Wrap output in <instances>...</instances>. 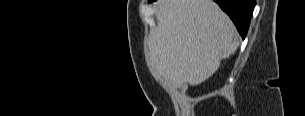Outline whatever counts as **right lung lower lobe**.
Wrapping results in <instances>:
<instances>
[{
	"label": "right lung lower lobe",
	"instance_id": "obj_1",
	"mask_svg": "<svg viewBox=\"0 0 305 116\" xmlns=\"http://www.w3.org/2000/svg\"><path fill=\"white\" fill-rule=\"evenodd\" d=\"M153 1V0H151ZM234 22L238 32L246 37L256 0H214Z\"/></svg>",
	"mask_w": 305,
	"mask_h": 116
}]
</instances>
